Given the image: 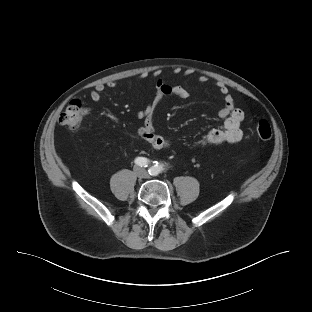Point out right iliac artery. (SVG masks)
<instances>
[{"label":"right iliac artery","mask_w":312,"mask_h":312,"mask_svg":"<svg viewBox=\"0 0 312 312\" xmlns=\"http://www.w3.org/2000/svg\"><path fill=\"white\" fill-rule=\"evenodd\" d=\"M135 163L140 167H148L150 161L145 157H137Z\"/></svg>","instance_id":"1"}]
</instances>
